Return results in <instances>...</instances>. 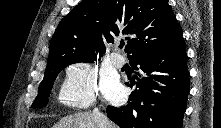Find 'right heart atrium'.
<instances>
[{
	"label": "right heart atrium",
	"instance_id": "right-heart-atrium-1",
	"mask_svg": "<svg viewBox=\"0 0 221 128\" xmlns=\"http://www.w3.org/2000/svg\"><path fill=\"white\" fill-rule=\"evenodd\" d=\"M96 75L85 60H76L64 70L60 87L62 102L71 108H83L97 99Z\"/></svg>",
	"mask_w": 221,
	"mask_h": 128
}]
</instances>
